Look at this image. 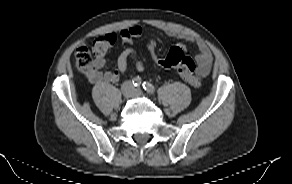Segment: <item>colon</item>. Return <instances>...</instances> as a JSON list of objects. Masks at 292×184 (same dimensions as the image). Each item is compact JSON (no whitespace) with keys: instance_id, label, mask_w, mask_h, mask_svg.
Segmentation results:
<instances>
[{"instance_id":"obj_1","label":"colon","mask_w":292,"mask_h":184,"mask_svg":"<svg viewBox=\"0 0 292 184\" xmlns=\"http://www.w3.org/2000/svg\"><path fill=\"white\" fill-rule=\"evenodd\" d=\"M116 42V35L106 34L96 38L89 48L86 44H80L75 51V61L79 70L89 72L94 67V57L103 56ZM147 48L152 58L164 68H174L180 76L194 87L201 85V78L196 74L194 61L186 56L183 48L174 46L166 55L159 54L158 38L151 33L147 40Z\"/></svg>"}]
</instances>
